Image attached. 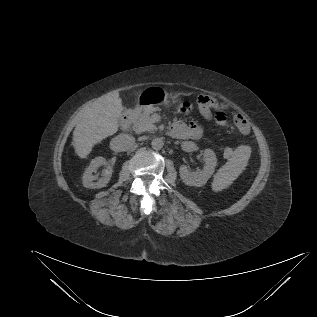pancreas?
I'll return each mask as SVG.
<instances>
[{
    "instance_id": "obj_1",
    "label": "pancreas",
    "mask_w": 317,
    "mask_h": 317,
    "mask_svg": "<svg viewBox=\"0 0 317 317\" xmlns=\"http://www.w3.org/2000/svg\"><path fill=\"white\" fill-rule=\"evenodd\" d=\"M154 112L153 107L145 108L142 112H137L132 119V129L136 133L151 132L157 129L153 124L151 114Z\"/></svg>"
}]
</instances>
